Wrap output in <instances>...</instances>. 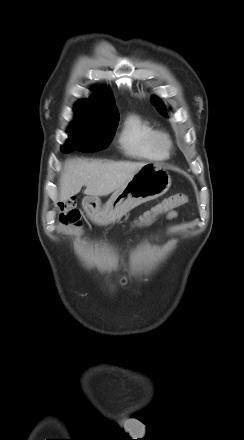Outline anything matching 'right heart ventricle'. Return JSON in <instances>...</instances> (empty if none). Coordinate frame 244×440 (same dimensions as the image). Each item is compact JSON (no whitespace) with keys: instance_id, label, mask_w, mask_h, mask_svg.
Listing matches in <instances>:
<instances>
[{"instance_id":"right-heart-ventricle-1","label":"right heart ventricle","mask_w":244,"mask_h":440,"mask_svg":"<svg viewBox=\"0 0 244 440\" xmlns=\"http://www.w3.org/2000/svg\"><path fill=\"white\" fill-rule=\"evenodd\" d=\"M154 129L139 115L129 114L125 117L118 144L122 151L132 157L159 160L165 155L158 152L151 143Z\"/></svg>"}]
</instances>
